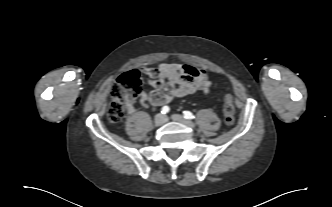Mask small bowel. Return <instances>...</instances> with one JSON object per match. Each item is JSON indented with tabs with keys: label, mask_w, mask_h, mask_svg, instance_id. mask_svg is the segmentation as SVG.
Segmentation results:
<instances>
[{
	"label": "small bowel",
	"mask_w": 332,
	"mask_h": 207,
	"mask_svg": "<svg viewBox=\"0 0 332 207\" xmlns=\"http://www.w3.org/2000/svg\"><path fill=\"white\" fill-rule=\"evenodd\" d=\"M142 72L150 79L151 86V90L141 94L143 106H162L174 97L196 92L208 94L212 87L210 76L204 69L187 64L163 63L155 68L143 67Z\"/></svg>",
	"instance_id": "c3829d8e"
}]
</instances>
